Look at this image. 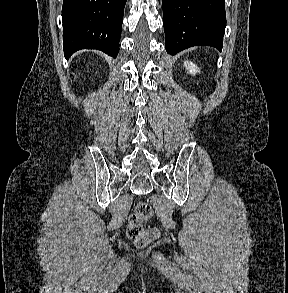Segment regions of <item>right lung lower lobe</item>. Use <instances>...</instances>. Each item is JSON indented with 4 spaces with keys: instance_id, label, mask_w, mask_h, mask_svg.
<instances>
[{
    "instance_id": "obj_1",
    "label": "right lung lower lobe",
    "mask_w": 288,
    "mask_h": 293,
    "mask_svg": "<svg viewBox=\"0 0 288 293\" xmlns=\"http://www.w3.org/2000/svg\"><path fill=\"white\" fill-rule=\"evenodd\" d=\"M126 0H64L62 7L64 55L97 49L116 57Z\"/></svg>"
}]
</instances>
